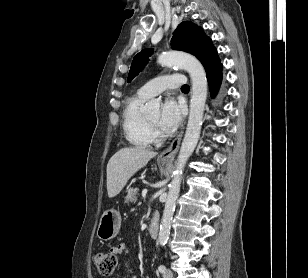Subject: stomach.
Segmentation results:
<instances>
[{
    "label": "stomach",
    "mask_w": 308,
    "mask_h": 278,
    "mask_svg": "<svg viewBox=\"0 0 308 278\" xmlns=\"http://www.w3.org/2000/svg\"><path fill=\"white\" fill-rule=\"evenodd\" d=\"M166 162H161V165H165ZM121 227V216L116 210H107L100 218V222L97 229V236L100 240L107 241L114 238Z\"/></svg>",
    "instance_id": "stomach-1"
}]
</instances>
